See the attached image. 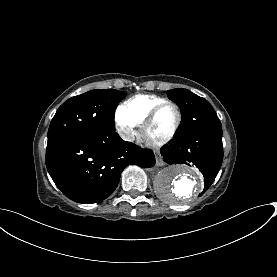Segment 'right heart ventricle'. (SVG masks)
<instances>
[{
    "label": "right heart ventricle",
    "instance_id": "e07e8e85",
    "mask_svg": "<svg viewBox=\"0 0 277 277\" xmlns=\"http://www.w3.org/2000/svg\"><path fill=\"white\" fill-rule=\"evenodd\" d=\"M166 101L168 100L154 95H136L121 105L118 114L131 118L137 124H141L154 107Z\"/></svg>",
    "mask_w": 277,
    "mask_h": 277
}]
</instances>
